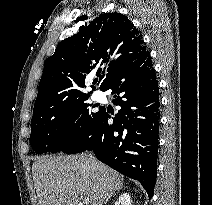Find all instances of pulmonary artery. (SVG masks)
Here are the masks:
<instances>
[{"label":"pulmonary artery","mask_w":212,"mask_h":205,"mask_svg":"<svg viewBox=\"0 0 212 205\" xmlns=\"http://www.w3.org/2000/svg\"><path fill=\"white\" fill-rule=\"evenodd\" d=\"M94 97L96 100L100 101L103 99V94L99 91L95 92Z\"/></svg>","instance_id":"1"}]
</instances>
